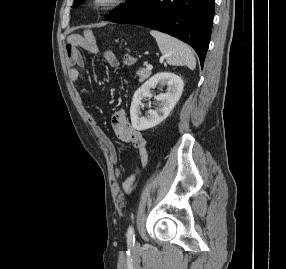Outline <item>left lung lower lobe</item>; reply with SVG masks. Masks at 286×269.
<instances>
[{"mask_svg": "<svg viewBox=\"0 0 286 269\" xmlns=\"http://www.w3.org/2000/svg\"><path fill=\"white\" fill-rule=\"evenodd\" d=\"M214 16V0H148L117 23L135 24L165 32L192 46L203 66Z\"/></svg>", "mask_w": 286, "mask_h": 269, "instance_id": "obj_1", "label": "left lung lower lobe"}]
</instances>
